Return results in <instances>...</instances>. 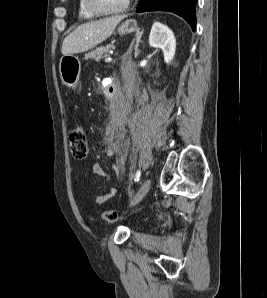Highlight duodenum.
Masks as SVG:
<instances>
[{"label":"duodenum","mask_w":267,"mask_h":298,"mask_svg":"<svg viewBox=\"0 0 267 298\" xmlns=\"http://www.w3.org/2000/svg\"><path fill=\"white\" fill-rule=\"evenodd\" d=\"M108 83L106 88V95L107 96H114L116 93V86H119V83L114 75H109Z\"/></svg>","instance_id":"410a0bca"}]
</instances>
